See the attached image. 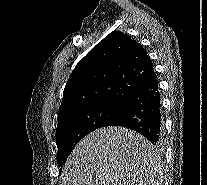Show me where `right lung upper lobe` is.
Wrapping results in <instances>:
<instances>
[{
  "label": "right lung upper lobe",
  "mask_w": 207,
  "mask_h": 185,
  "mask_svg": "<svg viewBox=\"0 0 207 185\" xmlns=\"http://www.w3.org/2000/svg\"><path fill=\"white\" fill-rule=\"evenodd\" d=\"M155 79L145 49L124 33L111 32L77 63L63 92L58 122L102 104L122 106Z\"/></svg>",
  "instance_id": "right-lung-upper-lobe-1"
}]
</instances>
